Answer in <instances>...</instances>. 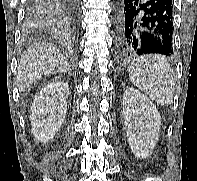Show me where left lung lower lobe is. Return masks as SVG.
Masks as SVG:
<instances>
[{
    "mask_svg": "<svg viewBox=\"0 0 197 181\" xmlns=\"http://www.w3.org/2000/svg\"><path fill=\"white\" fill-rule=\"evenodd\" d=\"M172 0H122L116 52L122 59L173 54Z\"/></svg>",
    "mask_w": 197,
    "mask_h": 181,
    "instance_id": "0a47b994",
    "label": "left lung lower lobe"
}]
</instances>
